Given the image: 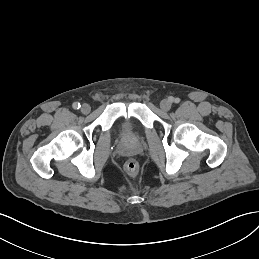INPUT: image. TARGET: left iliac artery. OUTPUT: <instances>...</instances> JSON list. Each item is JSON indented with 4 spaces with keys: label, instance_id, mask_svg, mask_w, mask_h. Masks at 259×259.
<instances>
[{
    "label": "left iliac artery",
    "instance_id": "left-iliac-artery-1",
    "mask_svg": "<svg viewBox=\"0 0 259 259\" xmlns=\"http://www.w3.org/2000/svg\"><path fill=\"white\" fill-rule=\"evenodd\" d=\"M172 101H174V103H179L180 99L179 98H175Z\"/></svg>",
    "mask_w": 259,
    "mask_h": 259
}]
</instances>
